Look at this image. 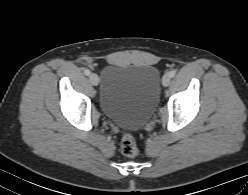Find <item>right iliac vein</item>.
<instances>
[{
  "mask_svg": "<svg viewBox=\"0 0 248 195\" xmlns=\"http://www.w3.org/2000/svg\"><path fill=\"white\" fill-rule=\"evenodd\" d=\"M89 79L93 85H95V86L98 85L99 78H98L97 74H95V73L90 74Z\"/></svg>",
  "mask_w": 248,
  "mask_h": 195,
  "instance_id": "obj_1",
  "label": "right iliac vein"
}]
</instances>
